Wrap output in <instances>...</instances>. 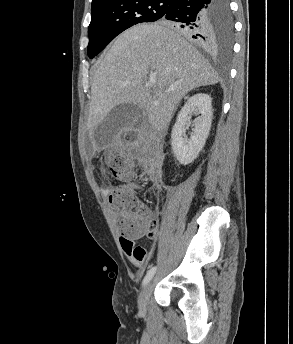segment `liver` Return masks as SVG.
I'll list each match as a JSON object with an SVG mask.
<instances>
[{"mask_svg":"<svg viewBox=\"0 0 293 344\" xmlns=\"http://www.w3.org/2000/svg\"><path fill=\"white\" fill-rule=\"evenodd\" d=\"M151 73L156 85L150 88ZM219 80L207 60L173 29L157 23L134 26L116 38L95 73L87 127L93 130L115 106L133 103L161 131L189 91Z\"/></svg>","mask_w":293,"mask_h":344,"instance_id":"1","label":"liver"}]
</instances>
